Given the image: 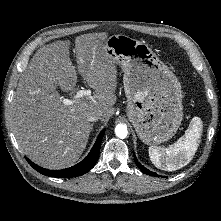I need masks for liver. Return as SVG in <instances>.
<instances>
[{"label":"liver","mask_w":221,"mask_h":221,"mask_svg":"<svg viewBox=\"0 0 221 221\" xmlns=\"http://www.w3.org/2000/svg\"><path fill=\"white\" fill-rule=\"evenodd\" d=\"M108 34L77 36V68L93 95L62 103L57 91L77 92V71L70 59V41H56L38 49L20 76L13 97L12 130L18 145L33 162L61 169L74 164L86 148L92 126L91 111L107 121L116 103L117 70L105 47Z\"/></svg>","instance_id":"6515ba94"}]
</instances>
